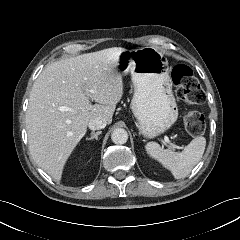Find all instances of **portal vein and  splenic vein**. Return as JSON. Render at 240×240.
<instances>
[{
	"label": "portal vein and splenic vein",
	"mask_w": 240,
	"mask_h": 240,
	"mask_svg": "<svg viewBox=\"0 0 240 240\" xmlns=\"http://www.w3.org/2000/svg\"><path fill=\"white\" fill-rule=\"evenodd\" d=\"M59 110H60V111H71V109H70L69 107H60ZM164 141H165L167 144L172 145L173 148H177L176 145L170 143V140H169L168 136H164Z\"/></svg>",
	"instance_id": "obj_1"
}]
</instances>
